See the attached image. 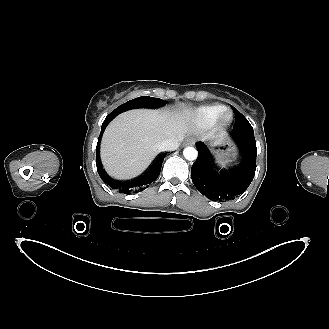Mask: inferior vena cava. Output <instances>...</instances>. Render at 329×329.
I'll list each match as a JSON object with an SVG mask.
<instances>
[{
    "label": "inferior vena cava",
    "mask_w": 329,
    "mask_h": 329,
    "mask_svg": "<svg viewBox=\"0 0 329 329\" xmlns=\"http://www.w3.org/2000/svg\"><path fill=\"white\" fill-rule=\"evenodd\" d=\"M178 147H179V140L178 139L164 140L159 146L161 151H174Z\"/></svg>",
    "instance_id": "inferior-vena-cava-1"
}]
</instances>
